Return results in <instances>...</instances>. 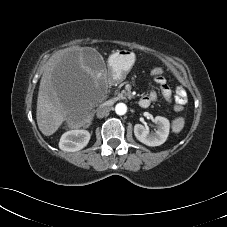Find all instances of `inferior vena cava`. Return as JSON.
Returning <instances> with one entry per match:
<instances>
[{
  "mask_svg": "<svg viewBox=\"0 0 227 227\" xmlns=\"http://www.w3.org/2000/svg\"><path fill=\"white\" fill-rule=\"evenodd\" d=\"M110 110H111L110 106L102 104L97 108V114L96 115H97L98 118H103L104 116L109 115Z\"/></svg>",
  "mask_w": 227,
  "mask_h": 227,
  "instance_id": "inferior-vena-cava-1",
  "label": "inferior vena cava"
}]
</instances>
